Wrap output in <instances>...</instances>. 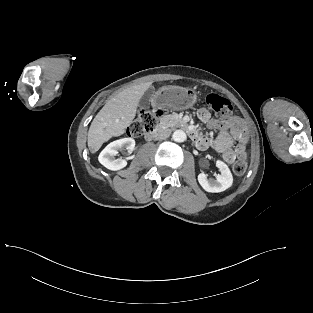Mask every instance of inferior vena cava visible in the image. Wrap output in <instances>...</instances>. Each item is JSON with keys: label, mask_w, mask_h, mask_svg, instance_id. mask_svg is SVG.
I'll list each match as a JSON object with an SVG mask.
<instances>
[{"label": "inferior vena cava", "mask_w": 313, "mask_h": 313, "mask_svg": "<svg viewBox=\"0 0 313 313\" xmlns=\"http://www.w3.org/2000/svg\"><path fill=\"white\" fill-rule=\"evenodd\" d=\"M170 133L171 131L169 129L163 130L156 136V139L157 140L166 139L167 137H169Z\"/></svg>", "instance_id": "inferior-vena-cava-1"}]
</instances>
